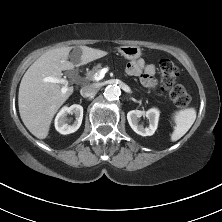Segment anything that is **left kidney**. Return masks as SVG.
I'll use <instances>...</instances> for the list:
<instances>
[{"label": "left kidney", "mask_w": 222, "mask_h": 222, "mask_svg": "<svg viewBox=\"0 0 222 222\" xmlns=\"http://www.w3.org/2000/svg\"><path fill=\"white\" fill-rule=\"evenodd\" d=\"M159 115L160 112L157 108H151L146 112L141 110H132L127 113V120L134 132L141 136H151L157 129ZM142 116H146L149 120L148 127L144 128L143 125L139 124L140 118Z\"/></svg>", "instance_id": "obj_1"}]
</instances>
